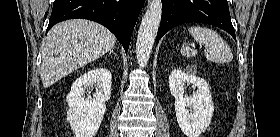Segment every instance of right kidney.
I'll list each match as a JSON object with an SVG mask.
<instances>
[{
  "label": "right kidney",
  "mask_w": 280,
  "mask_h": 137,
  "mask_svg": "<svg viewBox=\"0 0 280 137\" xmlns=\"http://www.w3.org/2000/svg\"><path fill=\"white\" fill-rule=\"evenodd\" d=\"M112 75L106 68H96L78 77L67 95V121L75 137H94L104 113L106 101L111 97ZM96 86L92 97H85L86 90Z\"/></svg>",
  "instance_id": "1"
}]
</instances>
